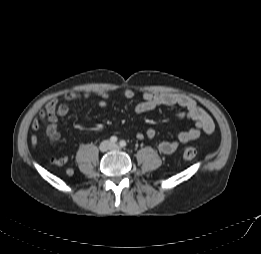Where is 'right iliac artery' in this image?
Segmentation results:
<instances>
[{"label":"right iliac artery","instance_id":"right-iliac-artery-1","mask_svg":"<svg viewBox=\"0 0 261 254\" xmlns=\"http://www.w3.org/2000/svg\"><path fill=\"white\" fill-rule=\"evenodd\" d=\"M117 137L116 136H112L111 138H110V142L111 143H116L117 142Z\"/></svg>","mask_w":261,"mask_h":254}]
</instances>
